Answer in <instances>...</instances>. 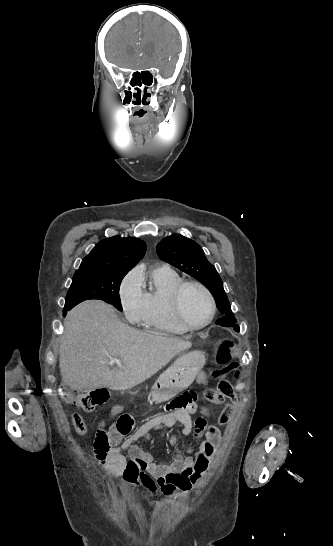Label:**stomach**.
<instances>
[{
    "label": "stomach",
    "instance_id": "1",
    "mask_svg": "<svg viewBox=\"0 0 333 546\" xmlns=\"http://www.w3.org/2000/svg\"><path fill=\"white\" fill-rule=\"evenodd\" d=\"M206 358L201 351H191L180 355L177 360L165 370L151 387L148 399L161 403L168 401L179 392L189 387L196 375L205 365Z\"/></svg>",
    "mask_w": 333,
    "mask_h": 546
}]
</instances>
